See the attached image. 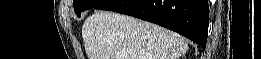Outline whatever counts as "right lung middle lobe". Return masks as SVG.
<instances>
[{"label":"right lung middle lobe","mask_w":261,"mask_h":59,"mask_svg":"<svg viewBox=\"0 0 261 59\" xmlns=\"http://www.w3.org/2000/svg\"><path fill=\"white\" fill-rule=\"evenodd\" d=\"M104 1L105 0H74V11L77 16L80 17L82 11L94 8Z\"/></svg>","instance_id":"right-lung-middle-lobe-1"}]
</instances>
